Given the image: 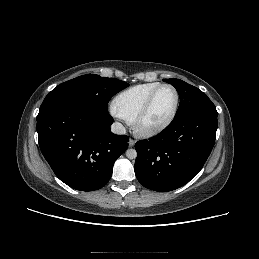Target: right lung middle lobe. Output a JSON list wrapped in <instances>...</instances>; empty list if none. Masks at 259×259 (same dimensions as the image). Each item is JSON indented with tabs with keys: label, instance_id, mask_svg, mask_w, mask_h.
I'll return each instance as SVG.
<instances>
[{
	"label": "right lung middle lobe",
	"instance_id": "dd1d6c3e",
	"mask_svg": "<svg viewBox=\"0 0 259 259\" xmlns=\"http://www.w3.org/2000/svg\"><path fill=\"white\" fill-rule=\"evenodd\" d=\"M128 85L124 81L96 74L79 76L53 89L44 99L39 113L61 103H80L106 112L111 97Z\"/></svg>",
	"mask_w": 259,
	"mask_h": 259
}]
</instances>
